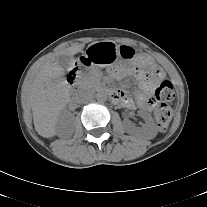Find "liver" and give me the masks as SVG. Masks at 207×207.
I'll list each match as a JSON object with an SVG mask.
<instances>
[{"label": "liver", "mask_w": 207, "mask_h": 207, "mask_svg": "<svg viewBox=\"0 0 207 207\" xmlns=\"http://www.w3.org/2000/svg\"><path fill=\"white\" fill-rule=\"evenodd\" d=\"M83 48L84 44H76L59 51L46 58L29 75L25 93L33 111L35 130L44 138L56 135L58 118L69 102L64 86L65 71L57 58L73 56Z\"/></svg>", "instance_id": "obj_1"}]
</instances>
